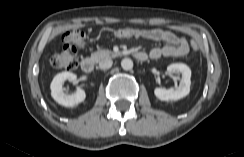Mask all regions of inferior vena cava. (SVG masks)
Instances as JSON below:
<instances>
[{"mask_svg":"<svg viewBox=\"0 0 244 157\" xmlns=\"http://www.w3.org/2000/svg\"><path fill=\"white\" fill-rule=\"evenodd\" d=\"M112 60L111 59H103L99 62V68L102 70H106L111 68L112 66Z\"/></svg>","mask_w":244,"mask_h":157,"instance_id":"1","label":"inferior vena cava"}]
</instances>
